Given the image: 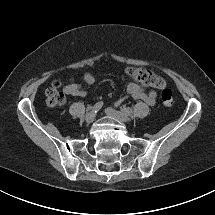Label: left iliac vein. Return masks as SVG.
<instances>
[{"instance_id": "left-iliac-vein-1", "label": "left iliac vein", "mask_w": 215, "mask_h": 215, "mask_svg": "<svg viewBox=\"0 0 215 215\" xmlns=\"http://www.w3.org/2000/svg\"><path fill=\"white\" fill-rule=\"evenodd\" d=\"M106 113L110 117H112L120 122H128L131 120V117L129 115L125 114L124 112L117 111L113 108H107Z\"/></svg>"}]
</instances>
